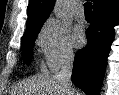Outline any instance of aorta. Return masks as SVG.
Segmentation results:
<instances>
[{
  "label": "aorta",
  "mask_w": 119,
  "mask_h": 95,
  "mask_svg": "<svg viewBox=\"0 0 119 95\" xmlns=\"http://www.w3.org/2000/svg\"><path fill=\"white\" fill-rule=\"evenodd\" d=\"M66 2L64 0H58L56 1L55 7L53 9V12L56 16V18H62L66 14Z\"/></svg>",
  "instance_id": "aorta-1"
}]
</instances>
